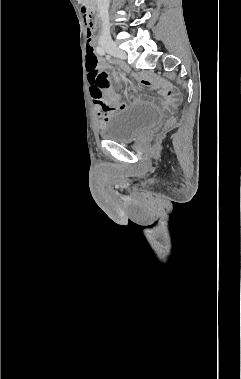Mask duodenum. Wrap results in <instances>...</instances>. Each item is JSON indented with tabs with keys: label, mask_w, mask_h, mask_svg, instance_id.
<instances>
[{
	"label": "duodenum",
	"mask_w": 241,
	"mask_h": 379,
	"mask_svg": "<svg viewBox=\"0 0 241 379\" xmlns=\"http://www.w3.org/2000/svg\"><path fill=\"white\" fill-rule=\"evenodd\" d=\"M94 4H95V0H88L87 6H86V8H84L88 20H92L91 10H92Z\"/></svg>",
	"instance_id": "obj_1"
}]
</instances>
